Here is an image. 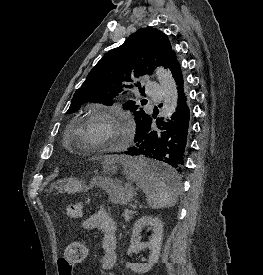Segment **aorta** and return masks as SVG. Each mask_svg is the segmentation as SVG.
<instances>
[{"label":"aorta","mask_w":263,"mask_h":275,"mask_svg":"<svg viewBox=\"0 0 263 275\" xmlns=\"http://www.w3.org/2000/svg\"><path fill=\"white\" fill-rule=\"evenodd\" d=\"M155 74L161 86L163 95V107L161 116L164 118V121H167V119H170L177 107V86L169 70L164 69L163 67H158L155 70Z\"/></svg>","instance_id":"762f6f07"}]
</instances>
